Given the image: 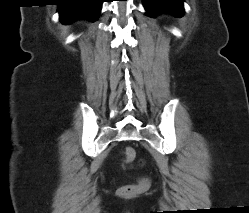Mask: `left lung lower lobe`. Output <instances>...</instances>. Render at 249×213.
<instances>
[{"label":"left lung lower lobe","instance_id":"0a47b994","mask_svg":"<svg viewBox=\"0 0 249 213\" xmlns=\"http://www.w3.org/2000/svg\"><path fill=\"white\" fill-rule=\"evenodd\" d=\"M184 0H143L147 15H155L160 12H171L178 16L183 15Z\"/></svg>","mask_w":249,"mask_h":213}]
</instances>
